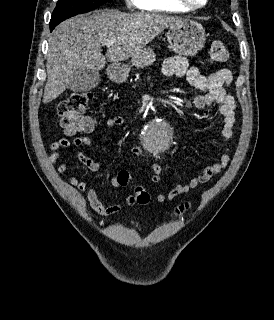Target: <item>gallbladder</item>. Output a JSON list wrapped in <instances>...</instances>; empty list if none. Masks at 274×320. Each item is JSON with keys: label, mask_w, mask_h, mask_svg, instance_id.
<instances>
[{"label": "gallbladder", "mask_w": 274, "mask_h": 320, "mask_svg": "<svg viewBox=\"0 0 274 320\" xmlns=\"http://www.w3.org/2000/svg\"><path fill=\"white\" fill-rule=\"evenodd\" d=\"M72 78L67 79L68 90L72 92H88L99 84L100 74L96 68H73Z\"/></svg>", "instance_id": "obj_1"}]
</instances>
